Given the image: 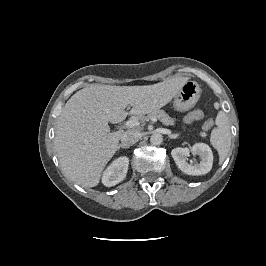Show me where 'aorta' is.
<instances>
[{
    "instance_id": "1",
    "label": "aorta",
    "mask_w": 266,
    "mask_h": 266,
    "mask_svg": "<svg viewBox=\"0 0 266 266\" xmlns=\"http://www.w3.org/2000/svg\"><path fill=\"white\" fill-rule=\"evenodd\" d=\"M150 142L153 145H160L163 142V136L160 133H154L153 135H151L150 137Z\"/></svg>"
}]
</instances>
